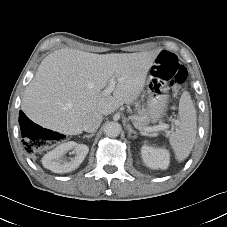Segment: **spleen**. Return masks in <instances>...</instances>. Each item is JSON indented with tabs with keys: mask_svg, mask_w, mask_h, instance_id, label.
I'll return each mask as SVG.
<instances>
[{
	"mask_svg": "<svg viewBox=\"0 0 227 227\" xmlns=\"http://www.w3.org/2000/svg\"><path fill=\"white\" fill-rule=\"evenodd\" d=\"M179 125L169 141L178 161H183L191 153L197 132L196 109L189 92L184 91L179 101Z\"/></svg>",
	"mask_w": 227,
	"mask_h": 227,
	"instance_id": "obj_1",
	"label": "spleen"
}]
</instances>
